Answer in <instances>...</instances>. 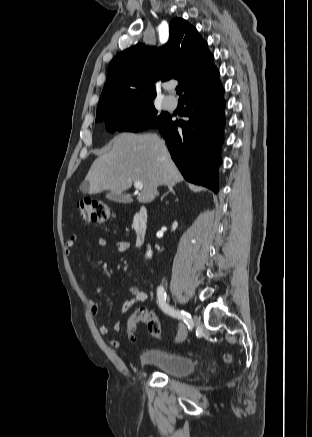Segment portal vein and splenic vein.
I'll list each match as a JSON object with an SVG mask.
<instances>
[{
    "label": "portal vein and splenic vein",
    "mask_w": 312,
    "mask_h": 437,
    "mask_svg": "<svg viewBox=\"0 0 312 437\" xmlns=\"http://www.w3.org/2000/svg\"><path fill=\"white\" fill-rule=\"evenodd\" d=\"M134 187H135L137 190H142V189H143V183H142L141 181H135V182H134Z\"/></svg>",
    "instance_id": "1"
}]
</instances>
